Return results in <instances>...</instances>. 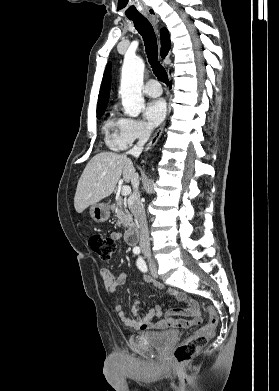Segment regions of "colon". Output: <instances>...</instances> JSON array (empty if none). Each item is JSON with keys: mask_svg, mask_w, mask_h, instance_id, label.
<instances>
[{"mask_svg": "<svg viewBox=\"0 0 279 391\" xmlns=\"http://www.w3.org/2000/svg\"><path fill=\"white\" fill-rule=\"evenodd\" d=\"M90 248L97 254L101 261H109L117 250V244L111 237L100 234L89 236ZM208 322L198 329L193 335L183 340L174 350L173 356L176 362L184 363L190 360L199 350L207 344L214 334L218 324V316L212 307L207 308Z\"/></svg>", "mask_w": 279, "mask_h": 391, "instance_id": "obj_1", "label": "colon"}]
</instances>
